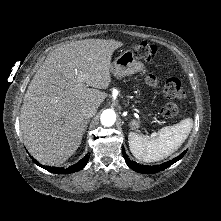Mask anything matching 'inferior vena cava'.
<instances>
[{"label":"inferior vena cava","mask_w":221,"mask_h":221,"mask_svg":"<svg viewBox=\"0 0 221 221\" xmlns=\"http://www.w3.org/2000/svg\"><path fill=\"white\" fill-rule=\"evenodd\" d=\"M96 113V106L93 104L85 105L82 109V115L84 118H91Z\"/></svg>","instance_id":"1"}]
</instances>
